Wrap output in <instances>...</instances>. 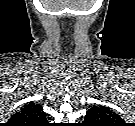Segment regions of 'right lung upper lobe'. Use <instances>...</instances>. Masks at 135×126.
<instances>
[{
    "label": "right lung upper lobe",
    "mask_w": 135,
    "mask_h": 126,
    "mask_svg": "<svg viewBox=\"0 0 135 126\" xmlns=\"http://www.w3.org/2000/svg\"><path fill=\"white\" fill-rule=\"evenodd\" d=\"M7 124L8 126H45L48 123L42 106L31 102L16 112Z\"/></svg>",
    "instance_id": "1"
}]
</instances>
